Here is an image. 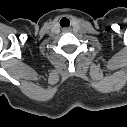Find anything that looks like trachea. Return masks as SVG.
Masks as SVG:
<instances>
[{
	"mask_svg": "<svg viewBox=\"0 0 127 127\" xmlns=\"http://www.w3.org/2000/svg\"><path fill=\"white\" fill-rule=\"evenodd\" d=\"M60 25H61V27H68L70 25L69 19H67L66 17H63L60 20Z\"/></svg>",
	"mask_w": 127,
	"mask_h": 127,
	"instance_id": "trachea-1",
	"label": "trachea"
}]
</instances>
